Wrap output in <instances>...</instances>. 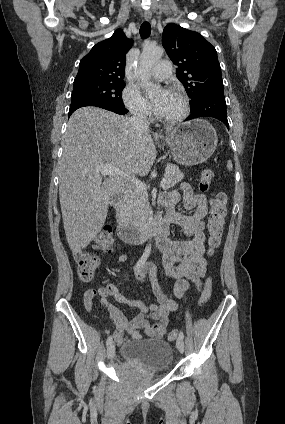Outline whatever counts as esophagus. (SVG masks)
I'll return each mask as SVG.
<instances>
[{"instance_id": "1", "label": "esophagus", "mask_w": 285, "mask_h": 424, "mask_svg": "<svg viewBox=\"0 0 285 424\" xmlns=\"http://www.w3.org/2000/svg\"><path fill=\"white\" fill-rule=\"evenodd\" d=\"M144 17L147 21H150L152 18V13L150 11H147L144 13Z\"/></svg>"}]
</instances>
